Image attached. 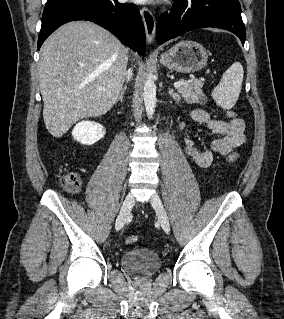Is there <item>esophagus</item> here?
<instances>
[{
    "label": "esophagus",
    "mask_w": 284,
    "mask_h": 319,
    "mask_svg": "<svg viewBox=\"0 0 284 319\" xmlns=\"http://www.w3.org/2000/svg\"><path fill=\"white\" fill-rule=\"evenodd\" d=\"M141 15L145 27L147 43L151 44L155 36L156 22L153 13L147 8L142 7Z\"/></svg>",
    "instance_id": "esophagus-1"
}]
</instances>
